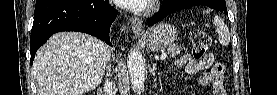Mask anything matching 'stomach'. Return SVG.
<instances>
[{
  "mask_svg": "<svg viewBox=\"0 0 277 95\" xmlns=\"http://www.w3.org/2000/svg\"><path fill=\"white\" fill-rule=\"evenodd\" d=\"M178 31L167 23H160L150 28L145 34L147 49L160 51L172 45L177 39Z\"/></svg>",
  "mask_w": 277,
  "mask_h": 95,
  "instance_id": "1",
  "label": "stomach"
}]
</instances>
